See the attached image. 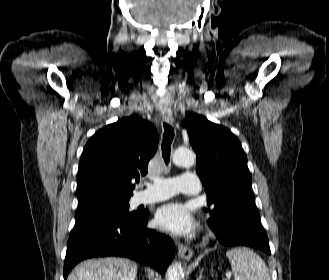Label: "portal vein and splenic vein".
<instances>
[{
  "label": "portal vein and splenic vein",
  "mask_w": 329,
  "mask_h": 280,
  "mask_svg": "<svg viewBox=\"0 0 329 280\" xmlns=\"http://www.w3.org/2000/svg\"><path fill=\"white\" fill-rule=\"evenodd\" d=\"M228 279H230V274L227 275V279H225V280H228Z\"/></svg>",
  "instance_id": "obj_1"
}]
</instances>
